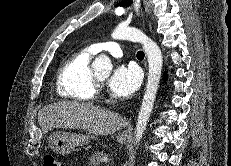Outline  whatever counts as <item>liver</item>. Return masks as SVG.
I'll use <instances>...</instances> for the list:
<instances>
[{"label": "liver", "mask_w": 231, "mask_h": 166, "mask_svg": "<svg viewBox=\"0 0 231 166\" xmlns=\"http://www.w3.org/2000/svg\"><path fill=\"white\" fill-rule=\"evenodd\" d=\"M43 134L54 128L83 129L94 135H110L127 121L121 115L87 103L62 101L44 106L38 112Z\"/></svg>", "instance_id": "liver-1"}]
</instances>
